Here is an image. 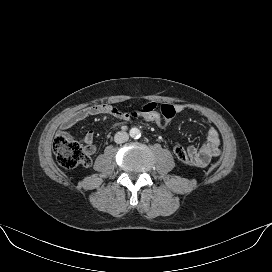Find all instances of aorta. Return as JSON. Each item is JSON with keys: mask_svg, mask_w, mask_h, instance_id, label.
<instances>
[{"mask_svg": "<svg viewBox=\"0 0 272 272\" xmlns=\"http://www.w3.org/2000/svg\"><path fill=\"white\" fill-rule=\"evenodd\" d=\"M129 134L134 139H138L141 135L140 130L136 127L131 128Z\"/></svg>", "mask_w": 272, "mask_h": 272, "instance_id": "1", "label": "aorta"}]
</instances>
